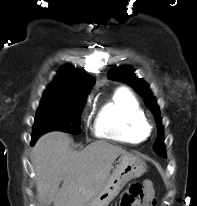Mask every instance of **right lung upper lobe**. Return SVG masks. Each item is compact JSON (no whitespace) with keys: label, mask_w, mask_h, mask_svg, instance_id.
Listing matches in <instances>:
<instances>
[{"label":"right lung upper lobe","mask_w":197,"mask_h":206,"mask_svg":"<svg viewBox=\"0 0 197 206\" xmlns=\"http://www.w3.org/2000/svg\"><path fill=\"white\" fill-rule=\"evenodd\" d=\"M95 80L84 72L64 66L58 72L55 80L48 86L44 93H69L87 95Z\"/></svg>","instance_id":"cb5924a9"}]
</instances>
